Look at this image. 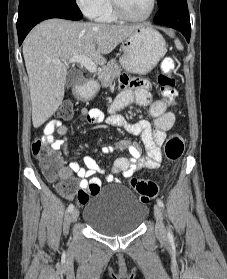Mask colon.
Here are the masks:
<instances>
[{
  "label": "colon",
  "instance_id": "colon-1",
  "mask_svg": "<svg viewBox=\"0 0 227 279\" xmlns=\"http://www.w3.org/2000/svg\"><path fill=\"white\" fill-rule=\"evenodd\" d=\"M175 71V62L171 57H165L160 63V72L157 75V84L159 86L161 96L169 103H174L177 97L176 81L173 76ZM73 106L63 104L60 107L59 118L67 120L72 116ZM45 140H36L32 144V155L39 162L40 167L45 177L55 182L56 168L59 164V156L55 151L48 150L45 146ZM184 138L177 133L171 134L164 147L165 157L169 161L179 160L184 152ZM131 185L138 194L142 203L149 202L152 198L158 195V185L152 180H144L132 178ZM58 188L67 195H75L78 199L87 198V195L82 190L77 191L74 179H68L65 182L59 183ZM90 192H96L99 189L97 183L90 185Z\"/></svg>",
  "mask_w": 227,
  "mask_h": 279
}]
</instances>
